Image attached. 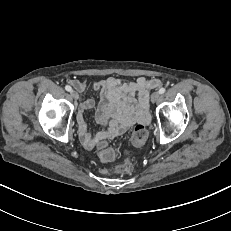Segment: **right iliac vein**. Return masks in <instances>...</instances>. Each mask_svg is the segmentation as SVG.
Wrapping results in <instances>:
<instances>
[{"label": "right iliac vein", "mask_w": 231, "mask_h": 231, "mask_svg": "<svg viewBox=\"0 0 231 231\" xmlns=\"http://www.w3.org/2000/svg\"><path fill=\"white\" fill-rule=\"evenodd\" d=\"M71 96L73 99L78 100L79 99V94L76 91H71Z\"/></svg>", "instance_id": "1"}]
</instances>
